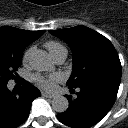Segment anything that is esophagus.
<instances>
[{
	"instance_id": "34e87169",
	"label": "esophagus",
	"mask_w": 128,
	"mask_h": 128,
	"mask_svg": "<svg viewBox=\"0 0 128 128\" xmlns=\"http://www.w3.org/2000/svg\"><path fill=\"white\" fill-rule=\"evenodd\" d=\"M42 96L45 98H54L55 95L47 92H42Z\"/></svg>"
}]
</instances>
